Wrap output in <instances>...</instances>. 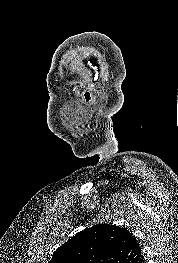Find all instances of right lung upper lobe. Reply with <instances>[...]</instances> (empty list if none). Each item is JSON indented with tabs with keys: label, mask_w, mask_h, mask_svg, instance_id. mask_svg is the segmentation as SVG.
Here are the masks:
<instances>
[{
	"label": "right lung upper lobe",
	"mask_w": 178,
	"mask_h": 263,
	"mask_svg": "<svg viewBox=\"0 0 178 263\" xmlns=\"http://www.w3.org/2000/svg\"><path fill=\"white\" fill-rule=\"evenodd\" d=\"M49 263H144V257L126 228L99 224L58 247Z\"/></svg>",
	"instance_id": "cb5924a9"
}]
</instances>
